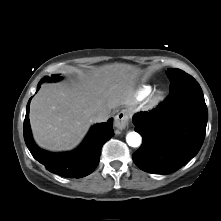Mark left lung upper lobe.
Instances as JSON below:
<instances>
[{"instance_id":"obj_1","label":"left lung upper lobe","mask_w":221,"mask_h":221,"mask_svg":"<svg viewBox=\"0 0 221 221\" xmlns=\"http://www.w3.org/2000/svg\"><path fill=\"white\" fill-rule=\"evenodd\" d=\"M170 79V91L176 89L178 86L196 81L192 76L188 75L180 69L169 68L166 72Z\"/></svg>"}]
</instances>
